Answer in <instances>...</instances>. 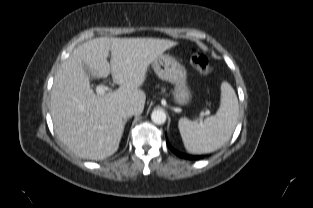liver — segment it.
<instances>
[{
  "mask_svg": "<svg viewBox=\"0 0 313 208\" xmlns=\"http://www.w3.org/2000/svg\"><path fill=\"white\" fill-rule=\"evenodd\" d=\"M177 44L168 39L100 37L75 48L56 73L51 91L50 111L60 141L85 159L103 160L113 155L125 125L118 106L131 104L136 115L143 112L146 94L139 88L148 67ZM84 65L96 78H106L111 72L120 87L96 95Z\"/></svg>",
  "mask_w": 313,
  "mask_h": 208,
  "instance_id": "liver-1",
  "label": "liver"
}]
</instances>
